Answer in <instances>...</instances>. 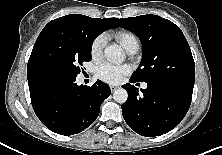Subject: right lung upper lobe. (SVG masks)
<instances>
[{
	"label": "right lung upper lobe",
	"instance_id": "right-lung-upper-lobe-1",
	"mask_svg": "<svg viewBox=\"0 0 222 155\" xmlns=\"http://www.w3.org/2000/svg\"><path fill=\"white\" fill-rule=\"evenodd\" d=\"M91 17L80 15V14H71L66 15L60 18H57L53 21L64 20V19H89ZM96 20L101 24L106 30L110 28L118 27L117 19L118 18H91ZM27 78L29 84L30 95H36L39 97H47L51 90L52 79L38 73L28 62L27 66Z\"/></svg>",
	"mask_w": 222,
	"mask_h": 155
}]
</instances>
